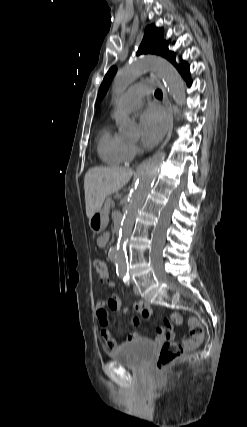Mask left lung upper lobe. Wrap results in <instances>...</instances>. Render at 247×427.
I'll return each mask as SVG.
<instances>
[{"instance_id":"1","label":"left lung upper lobe","mask_w":247,"mask_h":427,"mask_svg":"<svg viewBox=\"0 0 247 427\" xmlns=\"http://www.w3.org/2000/svg\"><path fill=\"white\" fill-rule=\"evenodd\" d=\"M167 45H168V42L164 41L163 33L160 31V29H157L153 25H151V26H148L145 30L143 40L137 51V55H140V54L160 55L166 58L167 60H169L170 62H172L173 65L176 67L177 63L175 62V53L170 52L167 49ZM115 73H116V67H111L107 72V74L105 75L104 80L99 89L96 106L99 105L100 101L104 97Z\"/></svg>"}]
</instances>
